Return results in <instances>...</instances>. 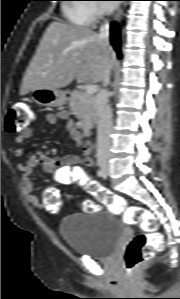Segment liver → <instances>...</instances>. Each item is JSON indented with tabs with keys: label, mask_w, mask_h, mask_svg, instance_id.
<instances>
[{
	"label": "liver",
	"mask_w": 180,
	"mask_h": 299,
	"mask_svg": "<svg viewBox=\"0 0 180 299\" xmlns=\"http://www.w3.org/2000/svg\"><path fill=\"white\" fill-rule=\"evenodd\" d=\"M115 54L109 43L85 27L59 21L46 29L20 88V95L40 88L59 89L74 78L78 83H97Z\"/></svg>",
	"instance_id": "obj_1"
}]
</instances>
